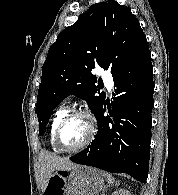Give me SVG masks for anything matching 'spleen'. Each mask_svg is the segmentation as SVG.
Listing matches in <instances>:
<instances>
[{"instance_id": "spleen-1", "label": "spleen", "mask_w": 178, "mask_h": 195, "mask_svg": "<svg viewBox=\"0 0 178 195\" xmlns=\"http://www.w3.org/2000/svg\"><path fill=\"white\" fill-rule=\"evenodd\" d=\"M106 178H107L108 183L112 184L114 182V178L111 177L109 174H106Z\"/></svg>"}]
</instances>
